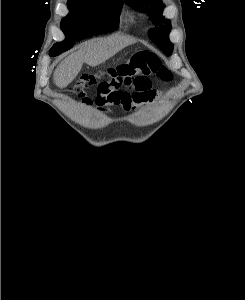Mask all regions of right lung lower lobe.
Returning a JSON list of instances; mask_svg holds the SVG:
<instances>
[{"label":"right lung lower lobe","instance_id":"1","mask_svg":"<svg viewBox=\"0 0 245 300\" xmlns=\"http://www.w3.org/2000/svg\"><path fill=\"white\" fill-rule=\"evenodd\" d=\"M78 26L83 29L85 32V36L91 37L94 35L102 34L103 30H101L102 26L96 20L86 19L78 22ZM52 56V55H50Z\"/></svg>","mask_w":245,"mask_h":300}]
</instances>
